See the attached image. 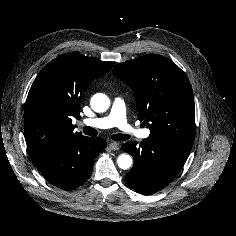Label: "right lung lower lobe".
I'll return each mask as SVG.
<instances>
[{
	"mask_svg": "<svg viewBox=\"0 0 236 236\" xmlns=\"http://www.w3.org/2000/svg\"><path fill=\"white\" fill-rule=\"evenodd\" d=\"M106 147L98 138H74L31 160L54 186L71 190L82 185L90 176L95 157Z\"/></svg>",
	"mask_w": 236,
	"mask_h": 236,
	"instance_id": "obj_1",
	"label": "right lung lower lobe"
}]
</instances>
